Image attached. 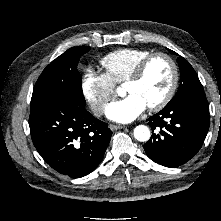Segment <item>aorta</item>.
<instances>
[{
  "label": "aorta",
  "instance_id": "aorta-1",
  "mask_svg": "<svg viewBox=\"0 0 221 221\" xmlns=\"http://www.w3.org/2000/svg\"><path fill=\"white\" fill-rule=\"evenodd\" d=\"M134 137L140 142L148 141L151 136L150 129L145 125H138L134 128Z\"/></svg>",
  "mask_w": 221,
  "mask_h": 221
}]
</instances>
